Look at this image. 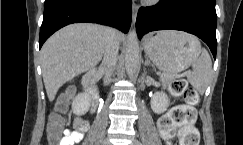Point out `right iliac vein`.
Masks as SVG:
<instances>
[{
	"mask_svg": "<svg viewBox=\"0 0 243 145\" xmlns=\"http://www.w3.org/2000/svg\"><path fill=\"white\" fill-rule=\"evenodd\" d=\"M102 145H111V143L108 139H105Z\"/></svg>",
	"mask_w": 243,
	"mask_h": 145,
	"instance_id": "obj_1",
	"label": "right iliac vein"
}]
</instances>
